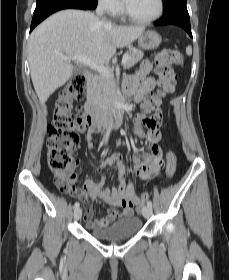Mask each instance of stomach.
Wrapping results in <instances>:
<instances>
[{
    "label": "stomach",
    "instance_id": "stomach-1",
    "mask_svg": "<svg viewBox=\"0 0 229 280\" xmlns=\"http://www.w3.org/2000/svg\"><path fill=\"white\" fill-rule=\"evenodd\" d=\"M161 43L160 35L152 30L144 31L138 37V44L142 49L153 50L156 49Z\"/></svg>",
    "mask_w": 229,
    "mask_h": 280
}]
</instances>
